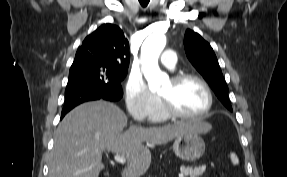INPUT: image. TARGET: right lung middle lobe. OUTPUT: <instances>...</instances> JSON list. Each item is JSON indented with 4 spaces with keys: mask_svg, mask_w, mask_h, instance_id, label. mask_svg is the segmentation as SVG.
Instances as JSON below:
<instances>
[{
    "mask_svg": "<svg viewBox=\"0 0 287 177\" xmlns=\"http://www.w3.org/2000/svg\"><path fill=\"white\" fill-rule=\"evenodd\" d=\"M126 74L127 71H120L99 64H72L67 85L87 82L104 85L106 87H117L121 86L120 83L125 78Z\"/></svg>",
    "mask_w": 287,
    "mask_h": 177,
    "instance_id": "obj_1",
    "label": "right lung middle lobe"
}]
</instances>
